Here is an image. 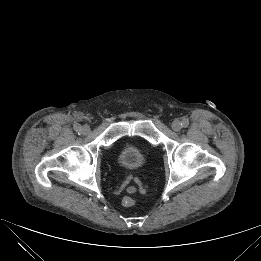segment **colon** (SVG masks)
Listing matches in <instances>:
<instances>
[{
	"instance_id": "5ec220e1",
	"label": "colon",
	"mask_w": 261,
	"mask_h": 261,
	"mask_svg": "<svg viewBox=\"0 0 261 261\" xmlns=\"http://www.w3.org/2000/svg\"><path fill=\"white\" fill-rule=\"evenodd\" d=\"M135 199L132 197V196H125L123 199H122V204L123 206L125 207H131L135 204Z\"/></svg>"
}]
</instances>
